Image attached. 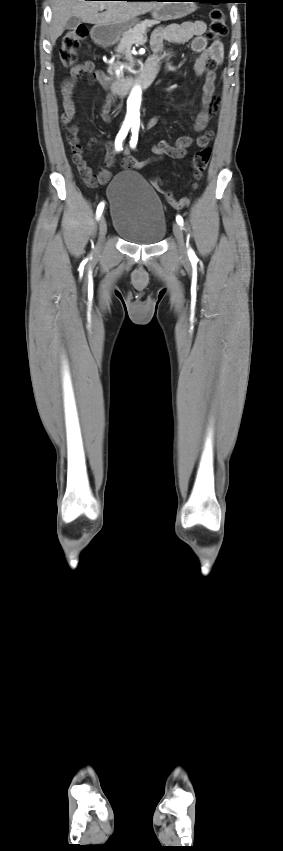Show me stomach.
<instances>
[{"label":"stomach","mask_w":283,"mask_h":851,"mask_svg":"<svg viewBox=\"0 0 283 851\" xmlns=\"http://www.w3.org/2000/svg\"><path fill=\"white\" fill-rule=\"evenodd\" d=\"M195 9L193 2H166L152 11V17L157 21L175 20L189 15ZM136 23L137 19L134 18L122 23L96 25L92 29V36L96 41L114 44Z\"/></svg>","instance_id":"1"}]
</instances>
